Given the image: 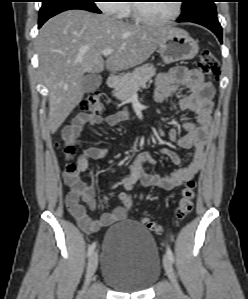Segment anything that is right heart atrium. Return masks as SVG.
Returning a JSON list of instances; mask_svg holds the SVG:
<instances>
[{
    "label": "right heart atrium",
    "mask_w": 248,
    "mask_h": 299,
    "mask_svg": "<svg viewBox=\"0 0 248 299\" xmlns=\"http://www.w3.org/2000/svg\"><path fill=\"white\" fill-rule=\"evenodd\" d=\"M100 10L111 15H123L125 13L124 4L120 0H100L98 1Z\"/></svg>",
    "instance_id": "1"
}]
</instances>
